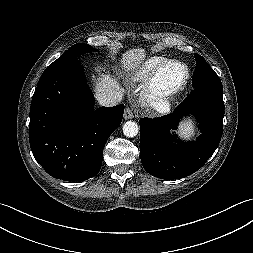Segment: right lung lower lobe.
<instances>
[{"mask_svg":"<svg viewBox=\"0 0 253 253\" xmlns=\"http://www.w3.org/2000/svg\"><path fill=\"white\" fill-rule=\"evenodd\" d=\"M123 112V104L94 109L77 58L44 71L30 109L29 141L36 161L57 179L83 181L95 176Z\"/></svg>","mask_w":253,"mask_h":253,"instance_id":"obj_1","label":"right lung lower lobe"}]
</instances>
